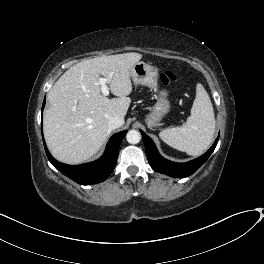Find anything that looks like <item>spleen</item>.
Wrapping results in <instances>:
<instances>
[{
    "mask_svg": "<svg viewBox=\"0 0 264 264\" xmlns=\"http://www.w3.org/2000/svg\"><path fill=\"white\" fill-rule=\"evenodd\" d=\"M215 132L213 106L203 85L196 86V97L187 123L162 130L159 137L169 146L188 155L202 154L211 144Z\"/></svg>",
    "mask_w": 264,
    "mask_h": 264,
    "instance_id": "spleen-1",
    "label": "spleen"
}]
</instances>
